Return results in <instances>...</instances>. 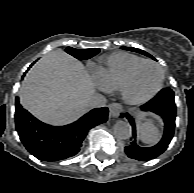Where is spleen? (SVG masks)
<instances>
[{
	"label": "spleen",
	"instance_id": "1",
	"mask_svg": "<svg viewBox=\"0 0 194 193\" xmlns=\"http://www.w3.org/2000/svg\"><path fill=\"white\" fill-rule=\"evenodd\" d=\"M137 129L138 137L144 143L155 144L160 139L161 133L152 118H144L138 123Z\"/></svg>",
	"mask_w": 194,
	"mask_h": 193
}]
</instances>
